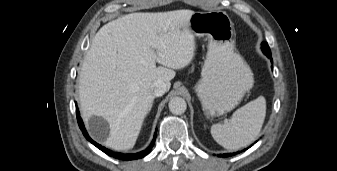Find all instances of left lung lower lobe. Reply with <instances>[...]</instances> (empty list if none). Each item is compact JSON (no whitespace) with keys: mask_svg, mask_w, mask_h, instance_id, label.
I'll use <instances>...</instances> for the list:
<instances>
[{"mask_svg":"<svg viewBox=\"0 0 337 171\" xmlns=\"http://www.w3.org/2000/svg\"><path fill=\"white\" fill-rule=\"evenodd\" d=\"M268 56V55H267ZM270 59H271V61H272V58H271V56H268ZM237 153H239V152H237ZM236 153H233V154H223V155H218V156H220V157H228V156H232V155H235Z\"/></svg>","mask_w":337,"mask_h":171,"instance_id":"left-lung-lower-lobe-1","label":"left lung lower lobe"}]
</instances>
